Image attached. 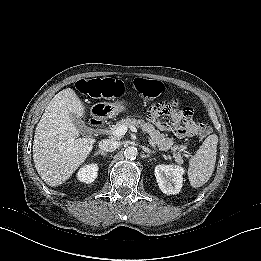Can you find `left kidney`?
Masks as SVG:
<instances>
[{
    "label": "left kidney",
    "mask_w": 261,
    "mask_h": 261,
    "mask_svg": "<svg viewBox=\"0 0 261 261\" xmlns=\"http://www.w3.org/2000/svg\"><path fill=\"white\" fill-rule=\"evenodd\" d=\"M155 177L159 188L165 194H178L183 185L184 169L179 165L160 164L155 167Z\"/></svg>",
    "instance_id": "left-kidney-1"
}]
</instances>
